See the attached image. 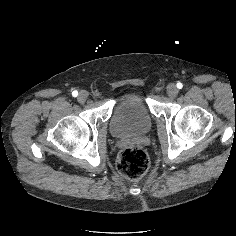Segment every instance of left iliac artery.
<instances>
[{
  "label": "left iliac artery",
  "instance_id": "44dca946",
  "mask_svg": "<svg viewBox=\"0 0 236 236\" xmlns=\"http://www.w3.org/2000/svg\"><path fill=\"white\" fill-rule=\"evenodd\" d=\"M176 86H177V88H178V89H182V87H183V84H182V83H180V82H178Z\"/></svg>",
  "mask_w": 236,
  "mask_h": 236
}]
</instances>
